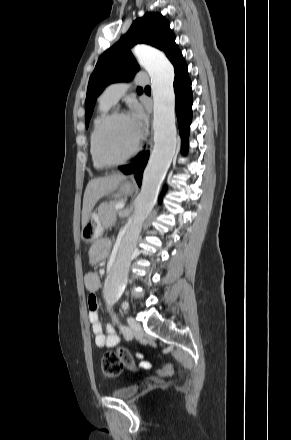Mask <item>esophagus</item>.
<instances>
[{
	"instance_id": "esophagus-1",
	"label": "esophagus",
	"mask_w": 291,
	"mask_h": 440,
	"mask_svg": "<svg viewBox=\"0 0 291 440\" xmlns=\"http://www.w3.org/2000/svg\"><path fill=\"white\" fill-rule=\"evenodd\" d=\"M151 144H152V137H151V140H150V146H151Z\"/></svg>"
}]
</instances>
